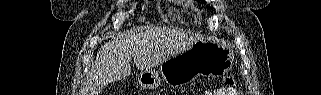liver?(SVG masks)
Segmentation results:
<instances>
[{
	"instance_id": "1",
	"label": "liver",
	"mask_w": 321,
	"mask_h": 95,
	"mask_svg": "<svg viewBox=\"0 0 321 95\" xmlns=\"http://www.w3.org/2000/svg\"><path fill=\"white\" fill-rule=\"evenodd\" d=\"M199 40L188 32L156 27L109 41L99 49L82 95H99L108 83L129 76L132 58L137 69L148 71Z\"/></svg>"
}]
</instances>
